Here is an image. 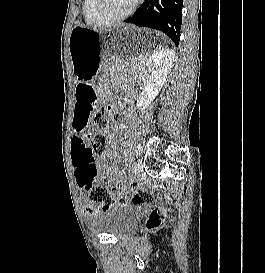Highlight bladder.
Instances as JSON below:
<instances>
[{"label": "bladder", "mask_w": 265, "mask_h": 273, "mask_svg": "<svg viewBox=\"0 0 265 273\" xmlns=\"http://www.w3.org/2000/svg\"><path fill=\"white\" fill-rule=\"evenodd\" d=\"M136 211L126 205L112 207L93 214L88 219L90 229L95 233H105L116 238H124L137 228Z\"/></svg>", "instance_id": "31cf9c89"}]
</instances>
